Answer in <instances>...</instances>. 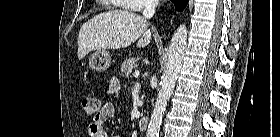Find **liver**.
Instances as JSON below:
<instances>
[{
    "label": "liver",
    "mask_w": 280,
    "mask_h": 137,
    "mask_svg": "<svg viewBox=\"0 0 280 137\" xmlns=\"http://www.w3.org/2000/svg\"><path fill=\"white\" fill-rule=\"evenodd\" d=\"M137 40L138 48L146 47L152 40L146 18L123 10L104 12L82 25L78 35V59L90 51L126 48Z\"/></svg>",
    "instance_id": "1"
}]
</instances>
